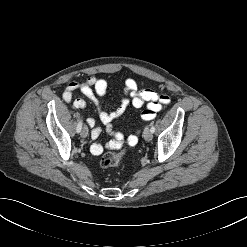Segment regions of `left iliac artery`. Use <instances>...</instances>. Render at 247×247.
I'll return each instance as SVG.
<instances>
[{"instance_id":"44dca946","label":"left iliac artery","mask_w":247,"mask_h":247,"mask_svg":"<svg viewBox=\"0 0 247 247\" xmlns=\"http://www.w3.org/2000/svg\"><path fill=\"white\" fill-rule=\"evenodd\" d=\"M150 130H151L152 133H154L155 132V127L152 125Z\"/></svg>"}]
</instances>
